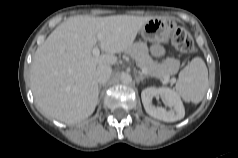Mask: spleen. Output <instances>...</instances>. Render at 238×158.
Masks as SVG:
<instances>
[{
    "mask_svg": "<svg viewBox=\"0 0 238 158\" xmlns=\"http://www.w3.org/2000/svg\"><path fill=\"white\" fill-rule=\"evenodd\" d=\"M207 86L206 64L202 58L195 57L180 71L175 89L185 102L199 103L206 93Z\"/></svg>",
    "mask_w": 238,
    "mask_h": 158,
    "instance_id": "3e777b00",
    "label": "spleen"
}]
</instances>
